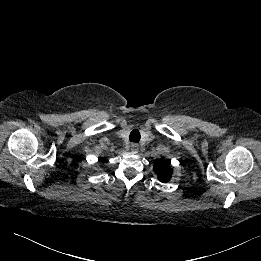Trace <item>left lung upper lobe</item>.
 <instances>
[{
    "label": "left lung upper lobe",
    "instance_id": "left-lung-upper-lobe-1",
    "mask_svg": "<svg viewBox=\"0 0 261 261\" xmlns=\"http://www.w3.org/2000/svg\"><path fill=\"white\" fill-rule=\"evenodd\" d=\"M154 171L161 182L166 183L171 179L172 168L169 167V164L164 163L163 160H160L154 165Z\"/></svg>",
    "mask_w": 261,
    "mask_h": 261
}]
</instances>
